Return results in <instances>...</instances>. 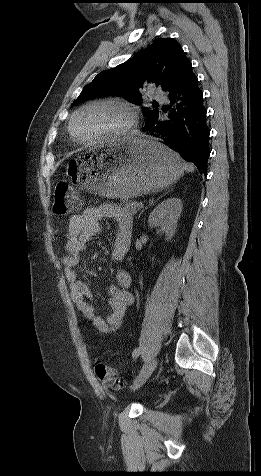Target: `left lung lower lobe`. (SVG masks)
Listing matches in <instances>:
<instances>
[{
    "label": "left lung lower lobe",
    "mask_w": 261,
    "mask_h": 476,
    "mask_svg": "<svg viewBox=\"0 0 261 476\" xmlns=\"http://www.w3.org/2000/svg\"><path fill=\"white\" fill-rule=\"evenodd\" d=\"M170 104L162 108L163 113L147 123L143 131L161 139L168 148L176 151L187 162H192L201 173L207 175V161L210 155V131L206 123V109L198 80L187 69L178 85L169 92Z\"/></svg>",
    "instance_id": "left-lung-lower-lobe-1"
}]
</instances>
